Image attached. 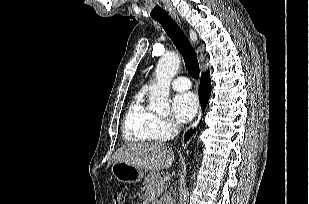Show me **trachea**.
Segmentation results:
<instances>
[{
  "instance_id": "3493384b",
  "label": "trachea",
  "mask_w": 309,
  "mask_h": 204,
  "mask_svg": "<svg viewBox=\"0 0 309 204\" xmlns=\"http://www.w3.org/2000/svg\"><path fill=\"white\" fill-rule=\"evenodd\" d=\"M153 19L158 21L163 26L165 32L181 53L188 72L193 77L198 78L200 75V69L197 55L181 28L168 14L153 17Z\"/></svg>"
}]
</instances>
